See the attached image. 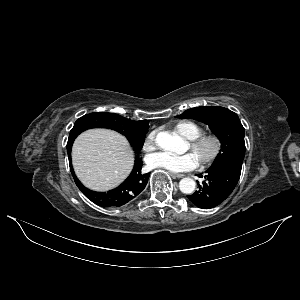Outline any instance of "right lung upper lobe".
<instances>
[{"label":"right lung upper lobe","instance_id":"right-lung-upper-lobe-1","mask_svg":"<svg viewBox=\"0 0 300 300\" xmlns=\"http://www.w3.org/2000/svg\"><path fill=\"white\" fill-rule=\"evenodd\" d=\"M123 119L130 125L134 126V127H144L146 125L149 124V122L147 120H142V121H132V120H129V119H126L123 117Z\"/></svg>","mask_w":300,"mask_h":300}]
</instances>
